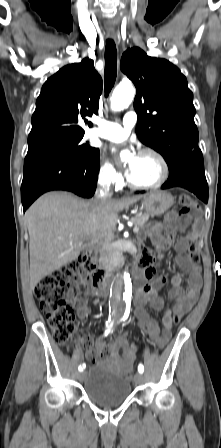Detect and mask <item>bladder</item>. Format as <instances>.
<instances>
[{"label":"bladder","mask_w":221,"mask_h":448,"mask_svg":"<svg viewBox=\"0 0 221 448\" xmlns=\"http://www.w3.org/2000/svg\"><path fill=\"white\" fill-rule=\"evenodd\" d=\"M82 381L86 396L103 407L119 406L131 395L129 378L104 364L95 365L86 371Z\"/></svg>","instance_id":"1"}]
</instances>
